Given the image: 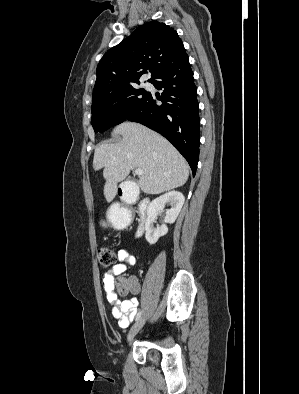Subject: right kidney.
Returning <instances> with one entry per match:
<instances>
[{
	"instance_id": "1",
	"label": "right kidney",
	"mask_w": 299,
	"mask_h": 394,
	"mask_svg": "<svg viewBox=\"0 0 299 394\" xmlns=\"http://www.w3.org/2000/svg\"><path fill=\"white\" fill-rule=\"evenodd\" d=\"M184 201L185 198L182 193L178 191H170L154 199L148 205L147 219L145 222V238L150 245L155 244L160 237L167 234L168 227L166 224H172L175 222L182 209ZM167 203L171 205V208L166 212L164 219L165 224L155 227L154 223L157 217V212L163 210Z\"/></svg>"
}]
</instances>
